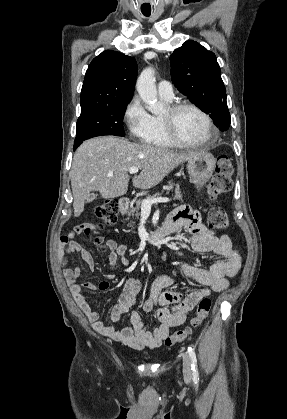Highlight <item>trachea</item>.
<instances>
[{"label": "trachea", "mask_w": 287, "mask_h": 419, "mask_svg": "<svg viewBox=\"0 0 287 419\" xmlns=\"http://www.w3.org/2000/svg\"><path fill=\"white\" fill-rule=\"evenodd\" d=\"M145 16H149V14H145Z\"/></svg>", "instance_id": "obj_1"}]
</instances>
